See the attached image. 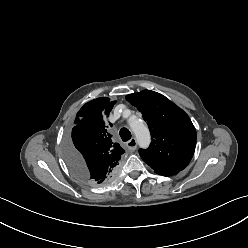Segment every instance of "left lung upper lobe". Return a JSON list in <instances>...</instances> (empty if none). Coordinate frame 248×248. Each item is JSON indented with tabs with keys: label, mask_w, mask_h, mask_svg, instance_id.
Returning <instances> with one entry per match:
<instances>
[{
	"label": "left lung upper lobe",
	"mask_w": 248,
	"mask_h": 248,
	"mask_svg": "<svg viewBox=\"0 0 248 248\" xmlns=\"http://www.w3.org/2000/svg\"><path fill=\"white\" fill-rule=\"evenodd\" d=\"M126 100L143 115L151 133V144L140 149L142 160L156 173L183 170L196 146V130L188 115L160 93L143 90Z\"/></svg>",
	"instance_id": "left-lung-upper-lobe-1"
}]
</instances>
